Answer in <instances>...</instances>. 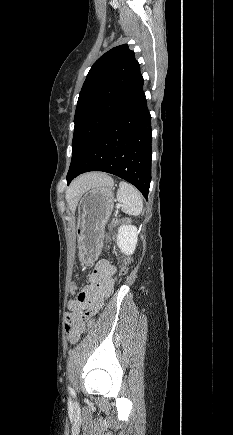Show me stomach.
I'll return each mask as SVG.
<instances>
[{"label": "stomach", "instance_id": "1", "mask_svg": "<svg viewBox=\"0 0 233 435\" xmlns=\"http://www.w3.org/2000/svg\"><path fill=\"white\" fill-rule=\"evenodd\" d=\"M114 182L109 176L99 186L85 191L78 204L76 234L82 265L92 264L99 256L104 226L114 206Z\"/></svg>", "mask_w": 233, "mask_h": 435}]
</instances>
